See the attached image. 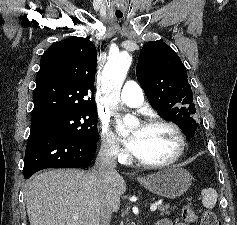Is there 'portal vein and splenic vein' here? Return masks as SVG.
Wrapping results in <instances>:
<instances>
[{
	"label": "portal vein and splenic vein",
	"instance_id": "1",
	"mask_svg": "<svg viewBox=\"0 0 237 225\" xmlns=\"http://www.w3.org/2000/svg\"><path fill=\"white\" fill-rule=\"evenodd\" d=\"M157 207H158L157 203H154V204H152V205L150 206V210H151L152 212H154V211L157 210Z\"/></svg>",
	"mask_w": 237,
	"mask_h": 225
}]
</instances>
